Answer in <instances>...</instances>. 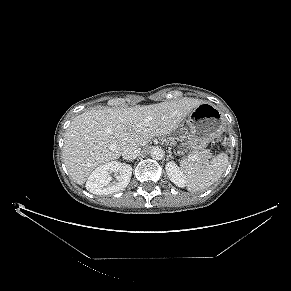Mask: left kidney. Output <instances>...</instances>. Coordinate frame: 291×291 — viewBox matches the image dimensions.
<instances>
[{
	"instance_id": "1",
	"label": "left kidney",
	"mask_w": 291,
	"mask_h": 291,
	"mask_svg": "<svg viewBox=\"0 0 291 291\" xmlns=\"http://www.w3.org/2000/svg\"><path fill=\"white\" fill-rule=\"evenodd\" d=\"M169 179L178 187H185L186 180L183 172L179 169L175 162H168L165 166Z\"/></svg>"
}]
</instances>
